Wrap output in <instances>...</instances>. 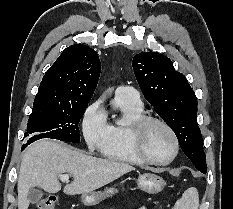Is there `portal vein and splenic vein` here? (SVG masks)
<instances>
[{"label": "portal vein and splenic vein", "mask_w": 233, "mask_h": 209, "mask_svg": "<svg viewBox=\"0 0 233 209\" xmlns=\"http://www.w3.org/2000/svg\"><path fill=\"white\" fill-rule=\"evenodd\" d=\"M60 179L62 181H68L69 180V175H67V174L60 175Z\"/></svg>", "instance_id": "portal-vein-and-splenic-vein-1"}]
</instances>
